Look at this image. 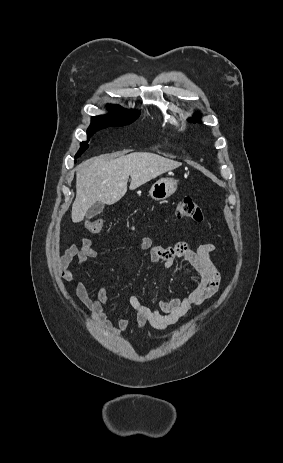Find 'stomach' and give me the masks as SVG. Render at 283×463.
Listing matches in <instances>:
<instances>
[{
    "instance_id": "stomach-1",
    "label": "stomach",
    "mask_w": 283,
    "mask_h": 463,
    "mask_svg": "<svg viewBox=\"0 0 283 463\" xmlns=\"http://www.w3.org/2000/svg\"><path fill=\"white\" fill-rule=\"evenodd\" d=\"M177 190V181L172 178H162L156 181L149 194L155 201H162L170 197Z\"/></svg>"
}]
</instances>
